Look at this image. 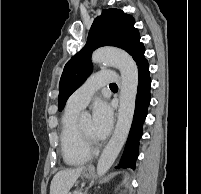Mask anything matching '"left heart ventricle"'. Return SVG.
<instances>
[{"label": "left heart ventricle", "instance_id": "b2bd125f", "mask_svg": "<svg viewBox=\"0 0 201 194\" xmlns=\"http://www.w3.org/2000/svg\"><path fill=\"white\" fill-rule=\"evenodd\" d=\"M81 129L91 138L92 136V120L90 118H87L80 122Z\"/></svg>", "mask_w": 201, "mask_h": 194}]
</instances>
